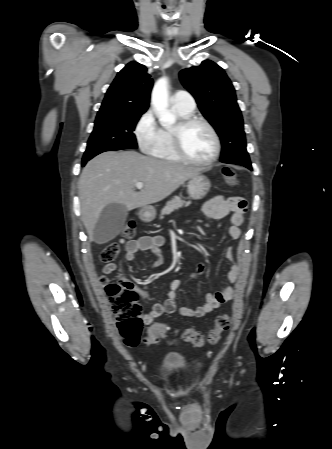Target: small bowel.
Listing matches in <instances>:
<instances>
[{"label":"small bowel","mask_w":332,"mask_h":449,"mask_svg":"<svg viewBox=\"0 0 332 449\" xmlns=\"http://www.w3.org/2000/svg\"><path fill=\"white\" fill-rule=\"evenodd\" d=\"M247 211V202L241 197H225L217 196L209 200L203 208L204 216L207 219H222L229 216L231 225L228 228L229 236L232 239H238L241 236L240 227L245 221V213ZM165 240L162 236H142L136 239H132L126 242V254L125 259L128 262L135 260L136 253L139 251H148L153 255L152 267H158L161 265L160 247L164 244ZM225 255L230 262V269L228 272L229 284L224 287L222 291L206 294V302L202 306L191 307H177L176 305V290L181 284L180 279H173L168 284L167 298L164 303H158L154 305L153 309L145 314L144 319L147 324L152 323L156 318L164 313L178 314L182 317H201L204 316L223 303L232 299L234 294V288L232 284L236 282L241 271L239 263L234 260L232 255V248L229 246ZM116 269L115 263H107L103 268L104 274H110ZM202 266H199L198 272H201ZM120 280H124L121 276ZM104 281V278L101 279ZM138 293L144 298L148 299L149 294L146 290L137 287Z\"/></svg>","instance_id":"c3829d8e"}]
</instances>
